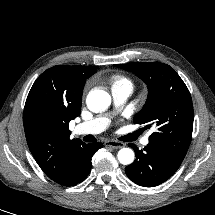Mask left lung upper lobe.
Listing matches in <instances>:
<instances>
[{"mask_svg": "<svg viewBox=\"0 0 215 215\" xmlns=\"http://www.w3.org/2000/svg\"><path fill=\"white\" fill-rule=\"evenodd\" d=\"M134 72L148 87V98L134 123L155 127L149 142L173 156L184 159L193 129V104L190 92L177 72L167 64L142 62L116 64Z\"/></svg>", "mask_w": 215, "mask_h": 215, "instance_id": "obj_1", "label": "left lung upper lobe"}]
</instances>
